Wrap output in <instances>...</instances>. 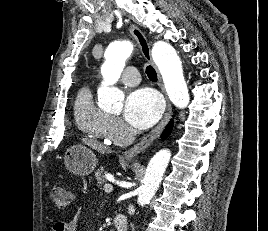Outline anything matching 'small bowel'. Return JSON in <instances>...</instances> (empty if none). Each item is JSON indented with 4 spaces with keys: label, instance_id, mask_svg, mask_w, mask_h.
Returning a JSON list of instances; mask_svg holds the SVG:
<instances>
[{
    "label": "small bowel",
    "instance_id": "small-bowel-1",
    "mask_svg": "<svg viewBox=\"0 0 268 231\" xmlns=\"http://www.w3.org/2000/svg\"><path fill=\"white\" fill-rule=\"evenodd\" d=\"M81 209L79 208L77 213L68 221L59 220L55 222L52 227V231H78Z\"/></svg>",
    "mask_w": 268,
    "mask_h": 231
}]
</instances>
